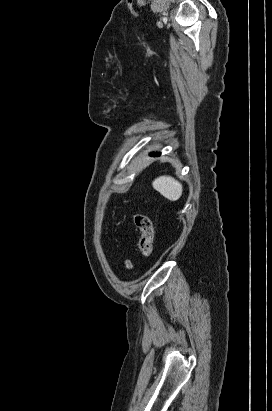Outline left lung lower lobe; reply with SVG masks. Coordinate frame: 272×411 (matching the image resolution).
I'll return each mask as SVG.
<instances>
[{
  "label": "left lung lower lobe",
  "instance_id": "1",
  "mask_svg": "<svg viewBox=\"0 0 272 411\" xmlns=\"http://www.w3.org/2000/svg\"><path fill=\"white\" fill-rule=\"evenodd\" d=\"M150 155L151 156H159L160 154L159 153H151Z\"/></svg>",
  "mask_w": 272,
  "mask_h": 411
}]
</instances>
